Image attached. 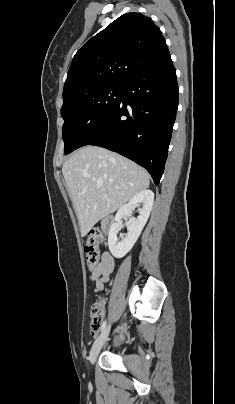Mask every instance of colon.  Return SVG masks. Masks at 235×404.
<instances>
[{"mask_svg":"<svg viewBox=\"0 0 235 404\" xmlns=\"http://www.w3.org/2000/svg\"><path fill=\"white\" fill-rule=\"evenodd\" d=\"M103 233L94 229L89 231L86 238V243L84 246V253L86 256L87 265L90 269H94L99 262V245L103 242ZM91 323L92 329L100 328L103 320L104 309L102 304H96L91 308Z\"/></svg>","mask_w":235,"mask_h":404,"instance_id":"colon-1","label":"colon"}]
</instances>
